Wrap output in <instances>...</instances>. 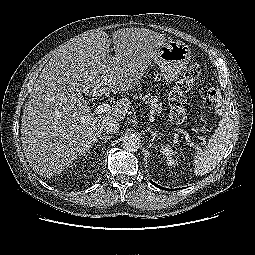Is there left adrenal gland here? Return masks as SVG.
Returning a JSON list of instances; mask_svg holds the SVG:
<instances>
[{
    "mask_svg": "<svg viewBox=\"0 0 255 255\" xmlns=\"http://www.w3.org/2000/svg\"><path fill=\"white\" fill-rule=\"evenodd\" d=\"M148 131H149V133L152 135V139H151L152 141H154L156 137H158V136L161 135L160 132H159V133H156V132L152 131L150 128H148Z\"/></svg>",
    "mask_w": 255,
    "mask_h": 255,
    "instance_id": "1",
    "label": "left adrenal gland"
}]
</instances>
